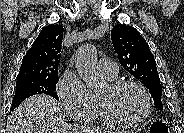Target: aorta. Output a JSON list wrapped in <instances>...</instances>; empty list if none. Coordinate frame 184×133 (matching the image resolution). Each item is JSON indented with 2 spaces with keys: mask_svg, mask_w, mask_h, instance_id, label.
<instances>
[{
  "mask_svg": "<svg viewBox=\"0 0 184 133\" xmlns=\"http://www.w3.org/2000/svg\"><path fill=\"white\" fill-rule=\"evenodd\" d=\"M78 74L90 90H97L103 82L98 65L94 45L86 43L78 47L74 55Z\"/></svg>",
  "mask_w": 184,
  "mask_h": 133,
  "instance_id": "obj_1",
  "label": "aorta"
}]
</instances>
